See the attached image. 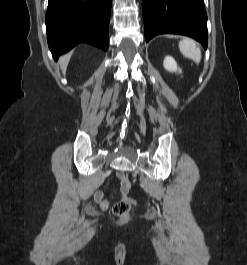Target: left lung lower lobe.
Here are the masks:
<instances>
[{
	"label": "left lung lower lobe",
	"instance_id": "1",
	"mask_svg": "<svg viewBox=\"0 0 247 265\" xmlns=\"http://www.w3.org/2000/svg\"><path fill=\"white\" fill-rule=\"evenodd\" d=\"M145 39L170 33L194 38L207 48V14L203 0H143Z\"/></svg>",
	"mask_w": 247,
	"mask_h": 265
}]
</instances>
